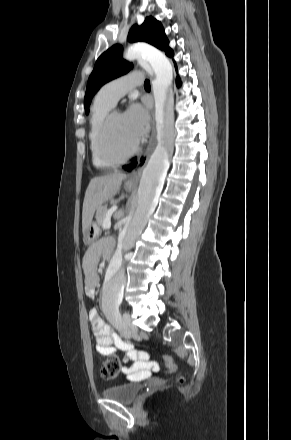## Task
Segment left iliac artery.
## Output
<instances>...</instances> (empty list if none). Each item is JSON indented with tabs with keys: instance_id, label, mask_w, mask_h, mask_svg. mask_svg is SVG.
I'll return each instance as SVG.
<instances>
[{
	"instance_id": "1",
	"label": "left iliac artery",
	"mask_w": 291,
	"mask_h": 440,
	"mask_svg": "<svg viewBox=\"0 0 291 440\" xmlns=\"http://www.w3.org/2000/svg\"><path fill=\"white\" fill-rule=\"evenodd\" d=\"M114 323H115L117 326H121V315H120L118 309H117V312H116V315H115V318H114Z\"/></svg>"
}]
</instances>
